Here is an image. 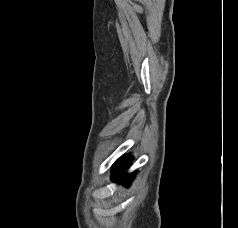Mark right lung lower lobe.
<instances>
[{
  "mask_svg": "<svg viewBox=\"0 0 238 228\" xmlns=\"http://www.w3.org/2000/svg\"><path fill=\"white\" fill-rule=\"evenodd\" d=\"M132 156L127 154L119 158L112 168V181L129 185L133 174H124V171L130 166Z\"/></svg>",
  "mask_w": 238,
  "mask_h": 228,
  "instance_id": "obj_1",
  "label": "right lung lower lobe"
}]
</instances>
